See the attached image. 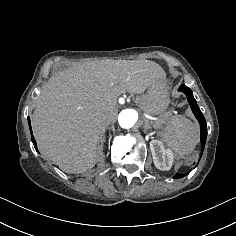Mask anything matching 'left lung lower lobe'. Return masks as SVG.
<instances>
[{
  "instance_id": "1",
  "label": "left lung lower lobe",
  "mask_w": 236,
  "mask_h": 236,
  "mask_svg": "<svg viewBox=\"0 0 236 236\" xmlns=\"http://www.w3.org/2000/svg\"><path fill=\"white\" fill-rule=\"evenodd\" d=\"M179 91L183 92L184 94H186L187 98H188V102L191 106V109L195 115V117L198 119L199 123H200V129H201V144H202V150L205 147V142H206V138H207V123L206 120L202 114V112L200 111L196 100L193 97V93L190 90V88H188L185 85H181L178 89ZM188 174V173H187ZM187 174L184 175H180V174H176L174 176L175 179H179L182 178L184 176H186Z\"/></svg>"
}]
</instances>
